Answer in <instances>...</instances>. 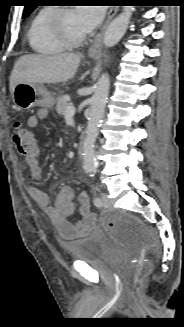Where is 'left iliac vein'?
<instances>
[{"label":"left iliac vein","mask_w":184,"mask_h":327,"mask_svg":"<svg viewBox=\"0 0 184 327\" xmlns=\"http://www.w3.org/2000/svg\"><path fill=\"white\" fill-rule=\"evenodd\" d=\"M101 199H102L103 206H105V207H110L111 206L110 200H109L106 193H102Z\"/></svg>","instance_id":"4c4485c4"}]
</instances>
